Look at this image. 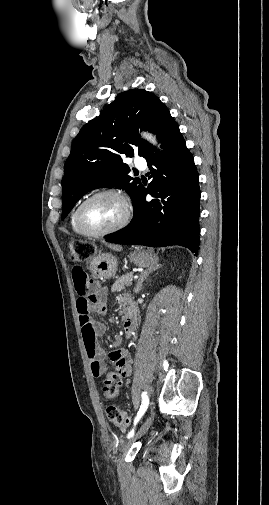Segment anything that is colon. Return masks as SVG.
Here are the masks:
<instances>
[{
  "mask_svg": "<svg viewBox=\"0 0 269 505\" xmlns=\"http://www.w3.org/2000/svg\"><path fill=\"white\" fill-rule=\"evenodd\" d=\"M91 255L92 250L88 245L78 242L71 243L70 258L74 263H82L86 261ZM96 297L99 298L97 295ZM121 381L122 380L118 374H107L102 379V391L104 396L107 398L114 397L118 392ZM106 414L111 424L117 429L124 431L130 424L129 414L115 405H108L106 408Z\"/></svg>",
  "mask_w": 269,
  "mask_h": 505,
  "instance_id": "colon-1",
  "label": "colon"
}]
</instances>
